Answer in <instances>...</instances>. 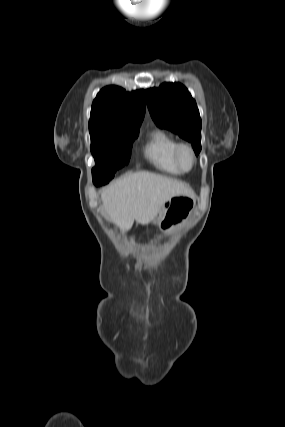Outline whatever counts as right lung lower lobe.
Listing matches in <instances>:
<instances>
[{"label": "right lung lower lobe", "mask_w": 285, "mask_h": 427, "mask_svg": "<svg viewBox=\"0 0 285 427\" xmlns=\"http://www.w3.org/2000/svg\"><path fill=\"white\" fill-rule=\"evenodd\" d=\"M96 186H99V185H101V184H98V183H94Z\"/></svg>", "instance_id": "obj_1"}]
</instances>
